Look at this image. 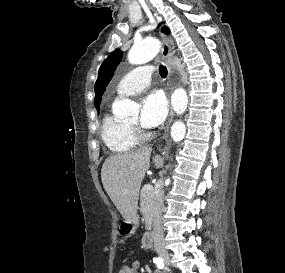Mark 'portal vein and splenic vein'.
Instances as JSON below:
<instances>
[{"label":"portal vein and splenic vein","mask_w":285,"mask_h":273,"mask_svg":"<svg viewBox=\"0 0 285 273\" xmlns=\"http://www.w3.org/2000/svg\"><path fill=\"white\" fill-rule=\"evenodd\" d=\"M151 188H152L151 185H146V186H144V189H145V190H149V189H151Z\"/></svg>","instance_id":"1"}]
</instances>
